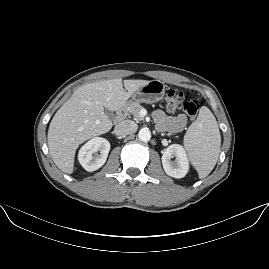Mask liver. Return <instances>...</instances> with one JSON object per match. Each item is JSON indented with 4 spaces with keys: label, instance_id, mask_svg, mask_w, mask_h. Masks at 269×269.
Here are the masks:
<instances>
[{
    "label": "liver",
    "instance_id": "1",
    "mask_svg": "<svg viewBox=\"0 0 269 269\" xmlns=\"http://www.w3.org/2000/svg\"><path fill=\"white\" fill-rule=\"evenodd\" d=\"M144 80L111 79L78 88L53 117L48 131V146L57 167L66 173L73 170L74 153L86 139L108 132L112 122L104 112L125 106L128 98Z\"/></svg>",
    "mask_w": 269,
    "mask_h": 269
}]
</instances>
